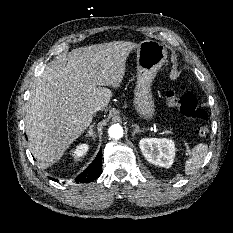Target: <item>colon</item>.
Returning a JSON list of instances; mask_svg holds the SVG:
<instances>
[{"instance_id":"obj_1","label":"colon","mask_w":233,"mask_h":233,"mask_svg":"<svg viewBox=\"0 0 233 233\" xmlns=\"http://www.w3.org/2000/svg\"><path fill=\"white\" fill-rule=\"evenodd\" d=\"M165 99L168 106L178 109L184 116L197 123L196 132L199 136H209L208 114L198 106L197 99L193 94L179 95L174 90H168Z\"/></svg>"}]
</instances>
